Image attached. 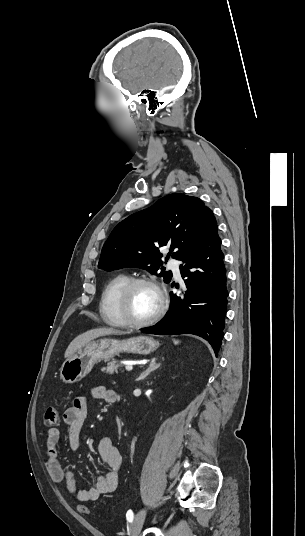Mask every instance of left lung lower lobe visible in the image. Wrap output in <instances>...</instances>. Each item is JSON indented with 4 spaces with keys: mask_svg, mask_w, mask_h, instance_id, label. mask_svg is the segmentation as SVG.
Returning a JSON list of instances; mask_svg holds the SVG:
<instances>
[{
    "mask_svg": "<svg viewBox=\"0 0 305 536\" xmlns=\"http://www.w3.org/2000/svg\"><path fill=\"white\" fill-rule=\"evenodd\" d=\"M180 265L186 290L171 295L163 320L141 332L157 335L194 334L206 339L216 356L223 339L228 290L224 254L217 228ZM172 286H174L172 284Z\"/></svg>",
    "mask_w": 305,
    "mask_h": 536,
    "instance_id": "1",
    "label": "left lung lower lobe"
}]
</instances>
